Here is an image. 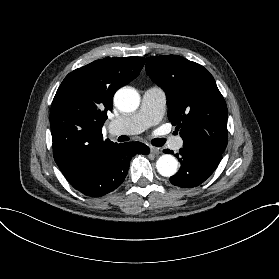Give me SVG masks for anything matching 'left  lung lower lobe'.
Here are the masks:
<instances>
[{
  "label": "left lung lower lobe",
  "mask_w": 279,
  "mask_h": 279,
  "mask_svg": "<svg viewBox=\"0 0 279 279\" xmlns=\"http://www.w3.org/2000/svg\"><path fill=\"white\" fill-rule=\"evenodd\" d=\"M165 153H173L164 150ZM181 168L178 173L170 178L175 186L192 188L203 183L218 166L222 153L204 147L183 146L179 150Z\"/></svg>",
  "instance_id": "0a47b994"
}]
</instances>
